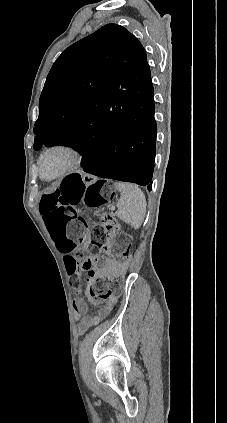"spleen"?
Returning a JSON list of instances; mask_svg holds the SVG:
<instances>
[{
  "label": "spleen",
  "mask_w": 227,
  "mask_h": 423,
  "mask_svg": "<svg viewBox=\"0 0 227 423\" xmlns=\"http://www.w3.org/2000/svg\"><path fill=\"white\" fill-rule=\"evenodd\" d=\"M117 190L121 192L120 200L117 202V217L125 223H129L134 229H138L144 221L146 213V200L143 192L136 184H115Z\"/></svg>",
  "instance_id": "obj_1"
}]
</instances>
